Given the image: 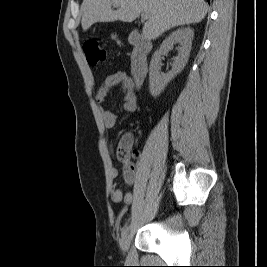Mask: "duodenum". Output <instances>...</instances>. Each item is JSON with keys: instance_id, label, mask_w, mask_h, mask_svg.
<instances>
[{"instance_id": "duodenum-1", "label": "duodenum", "mask_w": 267, "mask_h": 267, "mask_svg": "<svg viewBox=\"0 0 267 267\" xmlns=\"http://www.w3.org/2000/svg\"><path fill=\"white\" fill-rule=\"evenodd\" d=\"M129 42L133 46V56L131 60V74L136 85H141L148 72V54L151 51V43L137 31L129 35Z\"/></svg>"}]
</instances>
